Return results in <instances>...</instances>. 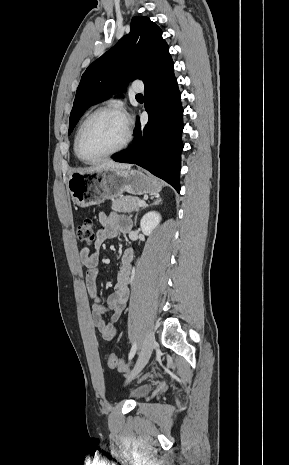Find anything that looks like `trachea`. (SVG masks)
I'll return each instance as SVG.
<instances>
[{
  "mask_svg": "<svg viewBox=\"0 0 289 465\" xmlns=\"http://www.w3.org/2000/svg\"><path fill=\"white\" fill-rule=\"evenodd\" d=\"M136 97H143V95L142 94H137Z\"/></svg>",
  "mask_w": 289,
  "mask_h": 465,
  "instance_id": "1",
  "label": "trachea"
}]
</instances>
